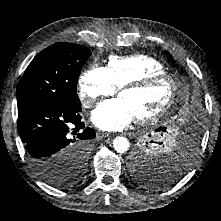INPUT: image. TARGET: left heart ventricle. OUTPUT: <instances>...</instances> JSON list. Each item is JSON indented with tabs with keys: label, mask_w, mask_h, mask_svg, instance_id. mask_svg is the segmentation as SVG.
Segmentation results:
<instances>
[{
	"label": "left heart ventricle",
	"mask_w": 221,
	"mask_h": 221,
	"mask_svg": "<svg viewBox=\"0 0 221 221\" xmlns=\"http://www.w3.org/2000/svg\"><path fill=\"white\" fill-rule=\"evenodd\" d=\"M171 93L172 85L164 79L141 90L123 91L119 97L127 102L135 118H140L159 111L167 103Z\"/></svg>",
	"instance_id": "1"
}]
</instances>
